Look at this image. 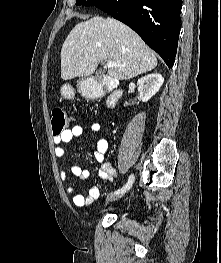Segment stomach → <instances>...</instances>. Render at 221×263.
Returning a JSON list of instances; mask_svg holds the SVG:
<instances>
[{
    "label": "stomach",
    "mask_w": 221,
    "mask_h": 263,
    "mask_svg": "<svg viewBox=\"0 0 221 263\" xmlns=\"http://www.w3.org/2000/svg\"><path fill=\"white\" fill-rule=\"evenodd\" d=\"M84 86H85V82L81 81L78 84V89L83 92L84 91ZM61 94L65 98H72L74 96V89L69 84H64L61 87Z\"/></svg>",
    "instance_id": "1"
}]
</instances>
